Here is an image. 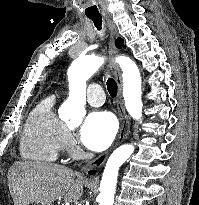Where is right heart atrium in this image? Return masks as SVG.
<instances>
[{
  "label": "right heart atrium",
  "mask_w": 199,
  "mask_h": 205,
  "mask_svg": "<svg viewBox=\"0 0 199 205\" xmlns=\"http://www.w3.org/2000/svg\"><path fill=\"white\" fill-rule=\"evenodd\" d=\"M74 145H75V140L72 133L66 132L63 148L69 152H73Z\"/></svg>",
  "instance_id": "1"
}]
</instances>
